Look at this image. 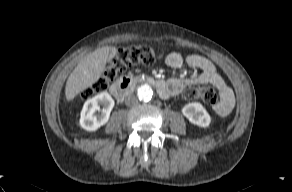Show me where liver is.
Wrapping results in <instances>:
<instances>
[{"label":"liver","instance_id":"liver-1","mask_svg":"<svg viewBox=\"0 0 292 192\" xmlns=\"http://www.w3.org/2000/svg\"><path fill=\"white\" fill-rule=\"evenodd\" d=\"M110 50L111 47L104 46L80 60L66 82L65 97L68 101L73 100L80 92L99 80Z\"/></svg>","mask_w":292,"mask_h":192}]
</instances>
